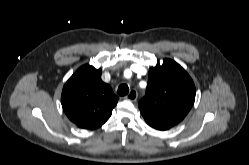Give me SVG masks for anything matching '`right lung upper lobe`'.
<instances>
[{"mask_svg": "<svg viewBox=\"0 0 249 165\" xmlns=\"http://www.w3.org/2000/svg\"><path fill=\"white\" fill-rule=\"evenodd\" d=\"M118 97L101 80V70L80 67L66 82L61 95L63 110L78 127L95 129L111 116Z\"/></svg>", "mask_w": 249, "mask_h": 165, "instance_id": "1", "label": "right lung upper lobe"}]
</instances>
